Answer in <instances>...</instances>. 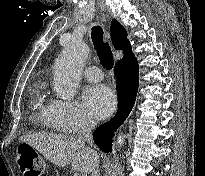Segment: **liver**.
<instances>
[{"label": "liver", "mask_w": 205, "mask_h": 176, "mask_svg": "<svg viewBox=\"0 0 205 176\" xmlns=\"http://www.w3.org/2000/svg\"><path fill=\"white\" fill-rule=\"evenodd\" d=\"M20 141L38 150L55 165L65 167L71 163L74 171L84 174L91 173L96 161L97 152L85 147L73 136L54 133H34L20 137Z\"/></svg>", "instance_id": "obj_1"}]
</instances>
